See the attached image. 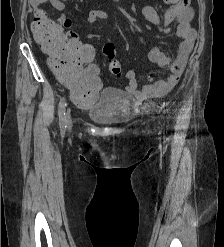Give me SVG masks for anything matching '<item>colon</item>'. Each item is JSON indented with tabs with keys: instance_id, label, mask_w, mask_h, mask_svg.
<instances>
[{
	"instance_id": "1",
	"label": "colon",
	"mask_w": 224,
	"mask_h": 247,
	"mask_svg": "<svg viewBox=\"0 0 224 247\" xmlns=\"http://www.w3.org/2000/svg\"><path fill=\"white\" fill-rule=\"evenodd\" d=\"M31 27L36 41L51 54L50 67L70 90L73 102L79 107H89L95 103L99 70L93 63V47L65 36L60 26L42 11L34 15ZM103 54L109 60L110 72L119 76L121 65L114 59L115 47L105 45Z\"/></svg>"
}]
</instances>
